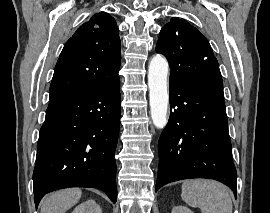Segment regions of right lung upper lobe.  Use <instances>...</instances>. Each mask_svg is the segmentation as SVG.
Wrapping results in <instances>:
<instances>
[{"label": "right lung upper lobe", "mask_w": 270, "mask_h": 213, "mask_svg": "<svg viewBox=\"0 0 270 213\" xmlns=\"http://www.w3.org/2000/svg\"><path fill=\"white\" fill-rule=\"evenodd\" d=\"M120 46L114 18L105 12L95 14L64 45L49 100L82 94L119 79Z\"/></svg>", "instance_id": "obj_1"}]
</instances>
